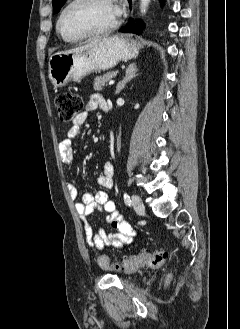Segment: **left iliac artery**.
<instances>
[{"instance_id":"left-iliac-artery-1","label":"left iliac artery","mask_w":240,"mask_h":329,"mask_svg":"<svg viewBox=\"0 0 240 329\" xmlns=\"http://www.w3.org/2000/svg\"><path fill=\"white\" fill-rule=\"evenodd\" d=\"M124 202L126 205L130 206L131 205V200L130 196L128 194H124Z\"/></svg>"}]
</instances>
